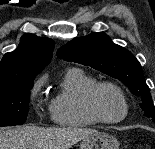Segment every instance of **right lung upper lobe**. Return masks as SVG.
Segmentation results:
<instances>
[{
    "label": "right lung upper lobe",
    "instance_id": "right-lung-upper-lobe-1",
    "mask_svg": "<svg viewBox=\"0 0 155 149\" xmlns=\"http://www.w3.org/2000/svg\"><path fill=\"white\" fill-rule=\"evenodd\" d=\"M54 45L52 39L32 34L23 35L18 48L3 56L0 78L38 75L49 64Z\"/></svg>",
    "mask_w": 155,
    "mask_h": 149
}]
</instances>
